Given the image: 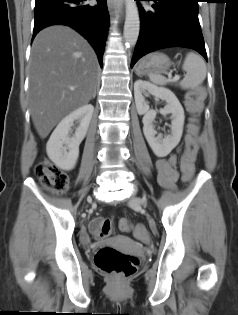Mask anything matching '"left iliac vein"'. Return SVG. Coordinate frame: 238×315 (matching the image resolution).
<instances>
[{
  "label": "left iliac vein",
  "mask_w": 238,
  "mask_h": 315,
  "mask_svg": "<svg viewBox=\"0 0 238 315\" xmlns=\"http://www.w3.org/2000/svg\"><path fill=\"white\" fill-rule=\"evenodd\" d=\"M145 200L138 198V197H132L129 201V204L133 207H137L139 205L145 204Z\"/></svg>",
  "instance_id": "4c4485c4"
}]
</instances>
